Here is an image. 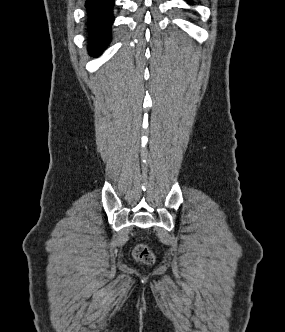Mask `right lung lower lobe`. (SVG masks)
<instances>
[{"instance_id":"obj_1","label":"right lung lower lobe","mask_w":285,"mask_h":332,"mask_svg":"<svg viewBox=\"0 0 285 332\" xmlns=\"http://www.w3.org/2000/svg\"><path fill=\"white\" fill-rule=\"evenodd\" d=\"M113 5L114 0H87L86 2L92 45L90 51L93 54L110 41V26L114 20Z\"/></svg>"}]
</instances>
